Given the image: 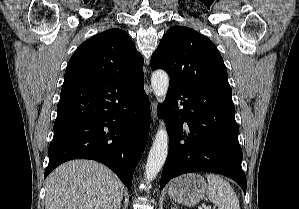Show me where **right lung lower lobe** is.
<instances>
[{
    "instance_id": "right-lung-lower-lobe-1",
    "label": "right lung lower lobe",
    "mask_w": 299,
    "mask_h": 209,
    "mask_svg": "<svg viewBox=\"0 0 299 209\" xmlns=\"http://www.w3.org/2000/svg\"><path fill=\"white\" fill-rule=\"evenodd\" d=\"M57 111L44 178L63 162L86 158L108 166L131 189L151 120L144 80L63 86Z\"/></svg>"
}]
</instances>
